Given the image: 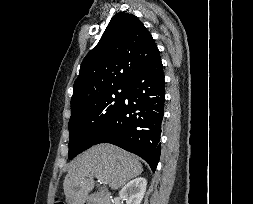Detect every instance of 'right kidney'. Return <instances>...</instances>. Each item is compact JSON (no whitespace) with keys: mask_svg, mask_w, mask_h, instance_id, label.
<instances>
[{"mask_svg":"<svg viewBox=\"0 0 253 204\" xmlns=\"http://www.w3.org/2000/svg\"><path fill=\"white\" fill-rule=\"evenodd\" d=\"M147 181L145 178L138 177L128 182L119 192L121 199L126 201V204H141Z\"/></svg>","mask_w":253,"mask_h":204,"instance_id":"1","label":"right kidney"}]
</instances>
